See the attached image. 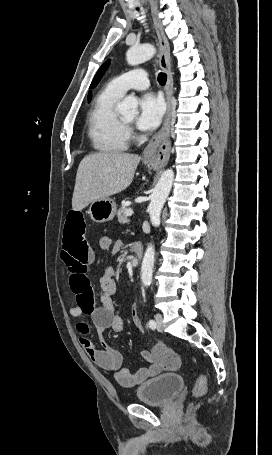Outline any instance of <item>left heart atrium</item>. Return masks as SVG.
I'll list each match as a JSON object with an SVG mask.
<instances>
[{
  "mask_svg": "<svg viewBox=\"0 0 272 455\" xmlns=\"http://www.w3.org/2000/svg\"><path fill=\"white\" fill-rule=\"evenodd\" d=\"M140 113L136 125L140 130L151 131L161 123L165 105L163 99L154 93H145L139 102Z\"/></svg>",
  "mask_w": 272,
  "mask_h": 455,
  "instance_id": "obj_1",
  "label": "left heart atrium"
}]
</instances>
